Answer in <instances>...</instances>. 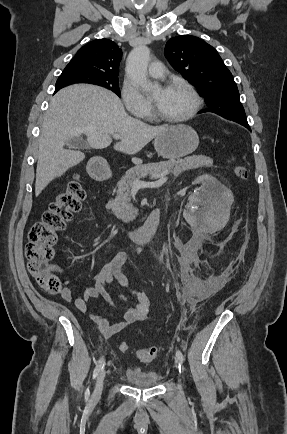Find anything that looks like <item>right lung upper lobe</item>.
<instances>
[{
    "instance_id": "1",
    "label": "right lung upper lobe",
    "mask_w": 287,
    "mask_h": 434,
    "mask_svg": "<svg viewBox=\"0 0 287 434\" xmlns=\"http://www.w3.org/2000/svg\"><path fill=\"white\" fill-rule=\"evenodd\" d=\"M122 51L109 39H97L83 46L65 69L92 76L118 77ZM61 87H56L55 92Z\"/></svg>"
}]
</instances>
